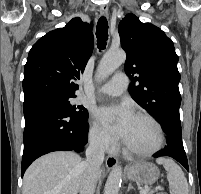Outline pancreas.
<instances>
[{
	"mask_svg": "<svg viewBox=\"0 0 201 194\" xmlns=\"http://www.w3.org/2000/svg\"><path fill=\"white\" fill-rule=\"evenodd\" d=\"M146 194H154V191L153 190L148 191Z\"/></svg>",
	"mask_w": 201,
	"mask_h": 194,
	"instance_id": "obj_1",
	"label": "pancreas"
}]
</instances>
